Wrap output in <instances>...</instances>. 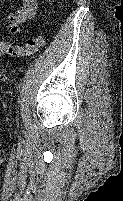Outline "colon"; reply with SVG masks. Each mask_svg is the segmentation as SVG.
<instances>
[{
    "instance_id": "obj_1",
    "label": "colon",
    "mask_w": 123,
    "mask_h": 201,
    "mask_svg": "<svg viewBox=\"0 0 123 201\" xmlns=\"http://www.w3.org/2000/svg\"><path fill=\"white\" fill-rule=\"evenodd\" d=\"M44 44L45 39L41 35L28 39L24 44L0 41V57L4 55L12 57L30 56L35 54Z\"/></svg>"
}]
</instances>
